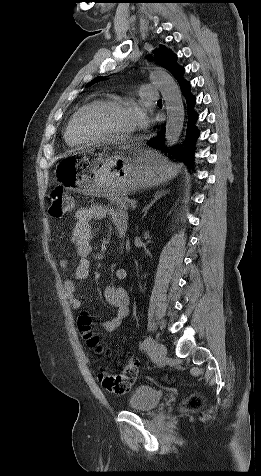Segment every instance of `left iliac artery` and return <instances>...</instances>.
<instances>
[{
    "label": "left iliac artery",
    "mask_w": 261,
    "mask_h": 476,
    "mask_svg": "<svg viewBox=\"0 0 261 476\" xmlns=\"http://www.w3.org/2000/svg\"><path fill=\"white\" fill-rule=\"evenodd\" d=\"M153 343V338L148 336L140 345L141 349H148Z\"/></svg>",
    "instance_id": "obj_1"
}]
</instances>
